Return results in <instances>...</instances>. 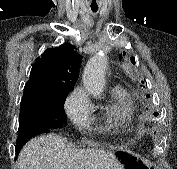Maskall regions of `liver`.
<instances>
[{"label":"liver","mask_w":177,"mask_h":169,"mask_svg":"<svg viewBox=\"0 0 177 169\" xmlns=\"http://www.w3.org/2000/svg\"><path fill=\"white\" fill-rule=\"evenodd\" d=\"M18 169H122L115 153L103 149H76L56 134L30 140L17 159Z\"/></svg>","instance_id":"liver-1"}]
</instances>
